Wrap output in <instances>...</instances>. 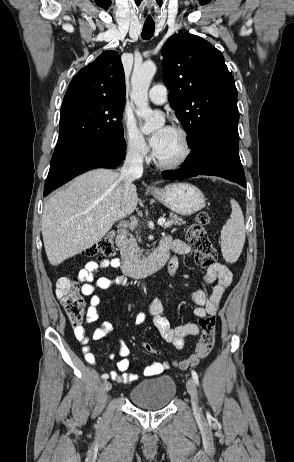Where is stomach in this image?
<instances>
[{"instance_id":"1","label":"stomach","mask_w":294,"mask_h":462,"mask_svg":"<svg viewBox=\"0 0 294 462\" xmlns=\"http://www.w3.org/2000/svg\"><path fill=\"white\" fill-rule=\"evenodd\" d=\"M152 195L171 211L188 216L205 207L204 194L196 186L188 183H175L152 191Z\"/></svg>"}]
</instances>
